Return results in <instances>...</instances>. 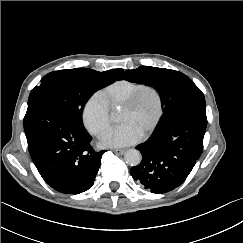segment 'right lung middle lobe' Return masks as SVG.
Wrapping results in <instances>:
<instances>
[{
  "instance_id": "1",
  "label": "right lung middle lobe",
  "mask_w": 243,
  "mask_h": 243,
  "mask_svg": "<svg viewBox=\"0 0 243 243\" xmlns=\"http://www.w3.org/2000/svg\"><path fill=\"white\" fill-rule=\"evenodd\" d=\"M110 76L87 68L65 69L48 73L30 93L32 102L50 103L68 112L82 127V112L87 100L99 89L113 83Z\"/></svg>"
}]
</instances>
